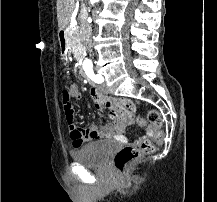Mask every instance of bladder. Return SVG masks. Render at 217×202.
I'll return each mask as SVG.
<instances>
[{
    "label": "bladder",
    "mask_w": 217,
    "mask_h": 202,
    "mask_svg": "<svg viewBox=\"0 0 217 202\" xmlns=\"http://www.w3.org/2000/svg\"><path fill=\"white\" fill-rule=\"evenodd\" d=\"M114 150L116 141L105 140L83 146L73 151L71 157L83 166H101Z\"/></svg>",
    "instance_id": "obj_1"
}]
</instances>
